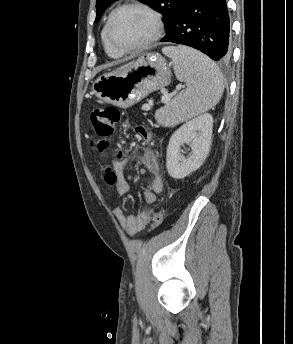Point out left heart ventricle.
Masks as SVG:
<instances>
[{
  "label": "left heart ventricle",
  "instance_id": "b2bd125f",
  "mask_svg": "<svg viewBox=\"0 0 293 344\" xmlns=\"http://www.w3.org/2000/svg\"><path fill=\"white\" fill-rule=\"evenodd\" d=\"M152 29V20L148 14L139 9L129 8L116 15L111 35L116 45L130 47L146 40Z\"/></svg>",
  "mask_w": 293,
  "mask_h": 344
}]
</instances>
